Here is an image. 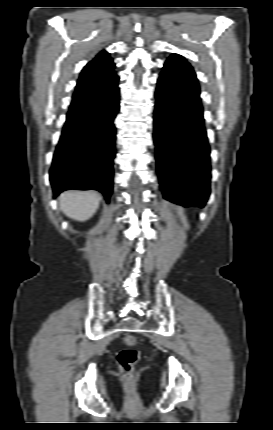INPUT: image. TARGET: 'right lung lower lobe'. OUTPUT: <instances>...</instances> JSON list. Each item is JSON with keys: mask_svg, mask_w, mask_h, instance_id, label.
Here are the masks:
<instances>
[{"mask_svg": "<svg viewBox=\"0 0 273 430\" xmlns=\"http://www.w3.org/2000/svg\"><path fill=\"white\" fill-rule=\"evenodd\" d=\"M118 77L90 88L88 98L69 108L56 148L50 181L55 196L68 189L98 190L109 203L113 186Z\"/></svg>", "mask_w": 273, "mask_h": 430, "instance_id": "1", "label": "right lung lower lobe"}]
</instances>
